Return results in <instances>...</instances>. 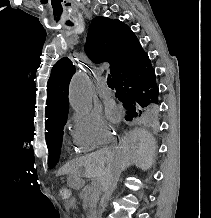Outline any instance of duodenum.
I'll return each instance as SVG.
<instances>
[{
    "mask_svg": "<svg viewBox=\"0 0 211 218\" xmlns=\"http://www.w3.org/2000/svg\"><path fill=\"white\" fill-rule=\"evenodd\" d=\"M89 216H90V217L92 216V212H89Z\"/></svg>",
    "mask_w": 211,
    "mask_h": 218,
    "instance_id": "duodenum-1",
    "label": "duodenum"
}]
</instances>
